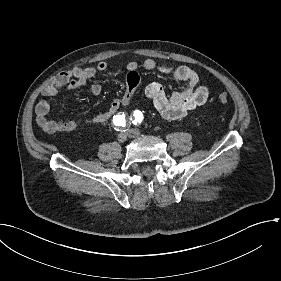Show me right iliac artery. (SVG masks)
<instances>
[{
	"label": "right iliac artery",
	"instance_id": "obj_1",
	"mask_svg": "<svg viewBox=\"0 0 281 281\" xmlns=\"http://www.w3.org/2000/svg\"><path fill=\"white\" fill-rule=\"evenodd\" d=\"M112 123L116 131H126L127 128L130 126L129 117L124 113H118L113 117Z\"/></svg>",
	"mask_w": 281,
	"mask_h": 281
}]
</instances>
